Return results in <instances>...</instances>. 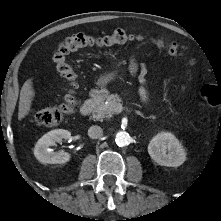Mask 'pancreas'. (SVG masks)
I'll return each mask as SVG.
<instances>
[{
  "label": "pancreas",
  "instance_id": "cf45deb5",
  "mask_svg": "<svg viewBox=\"0 0 221 221\" xmlns=\"http://www.w3.org/2000/svg\"><path fill=\"white\" fill-rule=\"evenodd\" d=\"M121 101L118 94H104L95 100L92 117L96 120L110 118L114 114V108Z\"/></svg>",
  "mask_w": 221,
  "mask_h": 221
}]
</instances>
